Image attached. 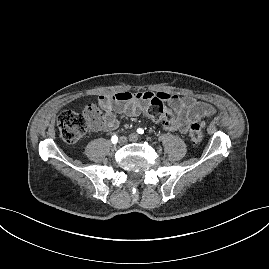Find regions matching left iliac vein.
<instances>
[{
	"mask_svg": "<svg viewBox=\"0 0 269 269\" xmlns=\"http://www.w3.org/2000/svg\"><path fill=\"white\" fill-rule=\"evenodd\" d=\"M138 139H139V135L136 134V133H131V134L129 135V140L132 141V142H137Z\"/></svg>",
	"mask_w": 269,
	"mask_h": 269,
	"instance_id": "left-iliac-vein-1",
	"label": "left iliac vein"
}]
</instances>
